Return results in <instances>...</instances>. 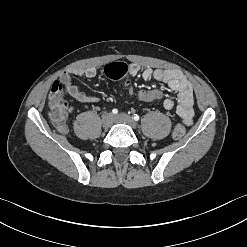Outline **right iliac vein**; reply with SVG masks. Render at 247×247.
Returning a JSON list of instances; mask_svg holds the SVG:
<instances>
[{"mask_svg": "<svg viewBox=\"0 0 247 247\" xmlns=\"http://www.w3.org/2000/svg\"><path fill=\"white\" fill-rule=\"evenodd\" d=\"M113 124V115L111 113H105L102 116V126L104 129H109Z\"/></svg>", "mask_w": 247, "mask_h": 247, "instance_id": "63e3f726", "label": "right iliac vein"}]
</instances>
